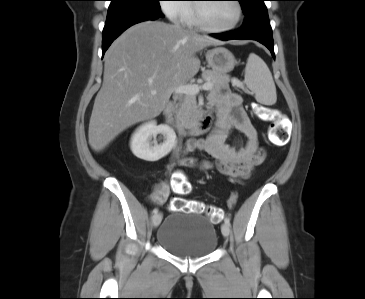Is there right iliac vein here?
I'll use <instances>...</instances> for the list:
<instances>
[{
	"mask_svg": "<svg viewBox=\"0 0 365 299\" xmlns=\"http://www.w3.org/2000/svg\"><path fill=\"white\" fill-rule=\"evenodd\" d=\"M161 221H162V214L161 213L155 214L153 216V221H152L153 222V227L157 228L160 225Z\"/></svg>",
	"mask_w": 365,
	"mask_h": 299,
	"instance_id": "obj_1",
	"label": "right iliac vein"
}]
</instances>
